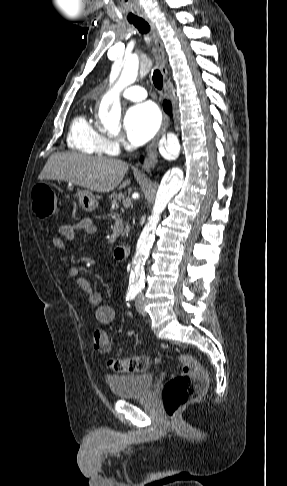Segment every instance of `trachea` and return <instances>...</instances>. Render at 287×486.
<instances>
[{"label":"trachea","mask_w":287,"mask_h":486,"mask_svg":"<svg viewBox=\"0 0 287 486\" xmlns=\"http://www.w3.org/2000/svg\"><path fill=\"white\" fill-rule=\"evenodd\" d=\"M130 23L133 24L141 33L146 34L150 30L148 23L143 19H135L130 21ZM152 80L157 89H162L163 76L158 69L154 70Z\"/></svg>","instance_id":"1"}]
</instances>
